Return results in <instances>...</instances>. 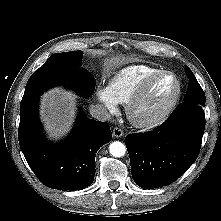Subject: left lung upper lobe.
Returning <instances> with one entry per match:
<instances>
[{"instance_id":"obj_1","label":"left lung upper lobe","mask_w":221,"mask_h":221,"mask_svg":"<svg viewBox=\"0 0 221 221\" xmlns=\"http://www.w3.org/2000/svg\"><path fill=\"white\" fill-rule=\"evenodd\" d=\"M186 71L189 76L190 87L184 102H188L190 104H196L203 107L205 105L204 92L201 86L199 85L197 79L195 78L194 74L192 73V71L188 67H186Z\"/></svg>"}]
</instances>
